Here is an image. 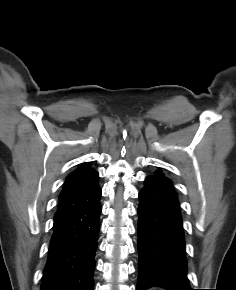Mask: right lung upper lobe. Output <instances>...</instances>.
<instances>
[{"instance_id":"1","label":"right lung upper lobe","mask_w":236,"mask_h":290,"mask_svg":"<svg viewBox=\"0 0 236 290\" xmlns=\"http://www.w3.org/2000/svg\"><path fill=\"white\" fill-rule=\"evenodd\" d=\"M100 192L98 172L82 163L67 177L59 195L60 204L55 217L89 204Z\"/></svg>"}]
</instances>
